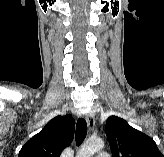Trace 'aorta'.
<instances>
[{
  "label": "aorta",
  "instance_id": "aorta-1",
  "mask_svg": "<svg viewBox=\"0 0 164 157\" xmlns=\"http://www.w3.org/2000/svg\"><path fill=\"white\" fill-rule=\"evenodd\" d=\"M103 147H104L103 141L89 140L81 146L78 152V157H92L95 153L100 151Z\"/></svg>",
  "mask_w": 164,
  "mask_h": 157
}]
</instances>
